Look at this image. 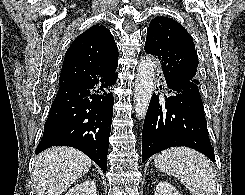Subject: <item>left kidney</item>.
I'll return each mask as SVG.
<instances>
[{"label": "left kidney", "instance_id": "1", "mask_svg": "<svg viewBox=\"0 0 245 195\" xmlns=\"http://www.w3.org/2000/svg\"><path fill=\"white\" fill-rule=\"evenodd\" d=\"M154 195H181L176 188L168 182H159Z\"/></svg>", "mask_w": 245, "mask_h": 195}]
</instances>
